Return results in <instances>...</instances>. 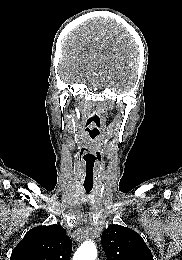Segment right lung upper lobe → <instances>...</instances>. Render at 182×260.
I'll return each mask as SVG.
<instances>
[{"label":"right lung upper lobe","instance_id":"obj_1","mask_svg":"<svg viewBox=\"0 0 182 260\" xmlns=\"http://www.w3.org/2000/svg\"><path fill=\"white\" fill-rule=\"evenodd\" d=\"M72 242L61 225L29 230L12 250L10 260H70Z\"/></svg>","mask_w":182,"mask_h":260}]
</instances>
